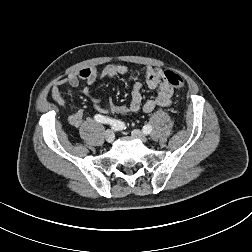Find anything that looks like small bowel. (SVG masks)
<instances>
[{
  "label": "small bowel",
  "mask_w": 252,
  "mask_h": 252,
  "mask_svg": "<svg viewBox=\"0 0 252 252\" xmlns=\"http://www.w3.org/2000/svg\"><path fill=\"white\" fill-rule=\"evenodd\" d=\"M129 72L130 69L122 64H109L100 73L96 68H84L58 81L51 89V98L59 105L66 106V101L61 92L62 87L68 84L73 88H79L82 86V83H85L81 87L80 92L89 99L92 107L103 116L108 114V112L102 106L100 99L92 94V85L101 79H114L127 75ZM142 73L145 76L147 86L150 89L157 90V94L142 103V84L136 81L132 87L130 100L138 102L139 109L142 108L144 112H151L157 107H168L172 103L174 90L165 80L164 72L160 68L146 66L142 69ZM83 116L84 111L80 109L67 118L68 123L72 126L79 127L83 123Z\"/></svg>",
  "instance_id": "obj_1"
}]
</instances>
